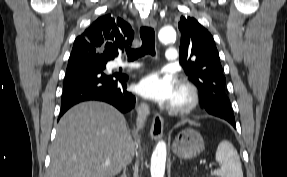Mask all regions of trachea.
Masks as SVG:
<instances>
[{
    "instance_id": "1",
    "label": "trachea",
    "mask_w": 287,
    "mask_h": 177,
    "mask_svg": "<svg viewBox=\"0 0 287 177\" xmlns=\"http://www.w3.org/2000/svg\"><path fill=\"white\" fill-rule=\"evenodd\" d=\"M140 37L142 39V46L139 49H132L126 47V53L129 61H134L141 56L150 54L155 56V33L151 27L140 28Z\"/></svg>"
}]
</instances>
